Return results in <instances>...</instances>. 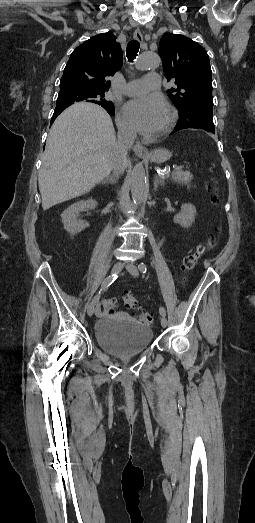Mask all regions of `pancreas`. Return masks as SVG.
<instances>
[{"mask_svg": "<svg viewBox=\"0 0 255 523\" xmlns=\"http://www.w3.org/2000/svg\"><path fill=\"white\" fill-rule=\"evenodd\" d=\"M172 178L175 182H179V184H189L192 176L189 172H184L183 174L174 173L172 174Z\"/></svg>", "mask_w": 255, "mask_h": 523, "instance_id": "obj_1", "label": "pancreas"}]
</instances>
